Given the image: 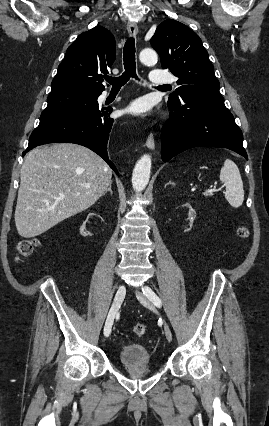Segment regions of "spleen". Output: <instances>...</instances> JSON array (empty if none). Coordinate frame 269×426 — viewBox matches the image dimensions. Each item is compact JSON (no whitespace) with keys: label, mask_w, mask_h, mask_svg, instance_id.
I'll return each mask as SVG.
<instances>
[{"label":"spleen","mask_w":269,"mask_h":426,"mask_svg":"<svg viewBox=\"0 0 269 426\" xmlns=\"http://www.w3.org/2000/svg\"><path fill=\"white\" fill-rule=\"evenodd\" d=\"M220 181L226 187L225 198L229 204L238 208L244 200L243 182L237 165L226 159L220 171Z\"/></svg>","instance_id":"spleen-1"}]
</instances>
